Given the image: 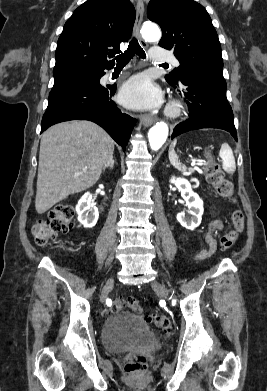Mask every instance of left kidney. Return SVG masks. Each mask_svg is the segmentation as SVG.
I'll return each mask as SVG.
<instances>
[{
	"label": "left kidney",
	"mask_w": 267,
	"mask_h": 391,
	"mask_svg": "<svg viewBox=\"0 0 267 391\" xmlns=\"http://www.w3.org/2000/svg\"><path fill=\"white\" fill-rule=\"evenodd\" d=\"M170 183L174 184L181 192V196L188 206V213L191 215V217H186L184 212L178 213L177 220L183 227L194 230L200 225L202 220L204 211L202 199H200L197 193L193 192L188 180L184 178L175 179L173 177L171 178Z\"/></svg>",
	"instance_id": "1"
}]
</instances>
